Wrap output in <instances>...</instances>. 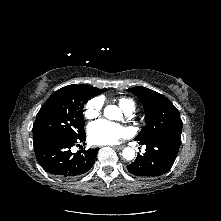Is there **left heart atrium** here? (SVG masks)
<instances>
[{"mask_svg":"<svg viewBox=\"0 0 221 221\" xmlns=\"http://www.w3.org/2000/svg\"><path fill=\"white\" fill-rule=\"evenodd\" d=\"M127 134L128 131L125 127L106 120L96 121L88 127V137L93 144H115Z\"/></svg>","mask_w":221,"mask_h":221,"instance_id":"obj_1","label":"left heart atrium"}]
</instances>
